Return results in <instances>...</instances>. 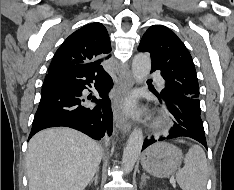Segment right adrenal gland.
<instances>
[{
    "label": "right adrenal gland",
    "mask_w": 234,
    "mask_h": 190,
    "mask_svg": "<svg viewBox=\"0 0 234 190\" xmlns=\"http://www.w3.org/2000/svg\"><path fill=\"white\" fill-rule=\"evenodd\" d=\"M98 172H99V170L96 171L95 177L89 182V185H91L93 183V181H94L95 186L98 185Z\"/></svg>",
    "instance_id": "1"
}]
</instances>
